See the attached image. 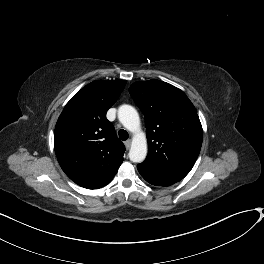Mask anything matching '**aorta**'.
<instances>
[{
	"instance_id": "1",
	"label": "aorta",
	"mask_w": 264,
	"mask_h": 264,
	"mask_svg": "<svg viewBox=\"0 0 264 264\" xmlns=\"http://www.w3.org/2000/svg\"><path fill=\"white\" fill-rule=\"evenodd\" d=\"M118 119L129 131L134 133L129 158L132 162H142L147 155V141L145 135L140 132V119L138 112L131 105H121L118 108Z\"/></svg>"
}]
</instances>
